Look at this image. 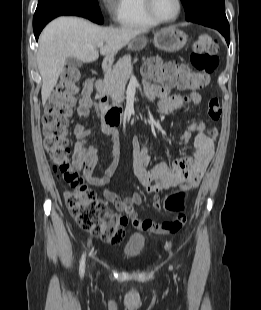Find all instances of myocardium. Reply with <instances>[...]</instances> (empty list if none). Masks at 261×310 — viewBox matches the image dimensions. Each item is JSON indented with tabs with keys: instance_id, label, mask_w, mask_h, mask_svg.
Instances as JSON below:
<instances>
[{
	"instance_id": "myocardium-1",
	"label": "myocardium",
	"mask_w": 261,
	"mask_h": 310,
	"mask_svg": "<svg viewBox=\"0 0 261 310\" xmlns=\"http://www.w3.org/2000/svg\"><path fill=\"white\" fill-rule=\"evenodd\" d=\"M177 2V12L176 14L174 15V17L170 18V19H163V18H160L154 11V7H153V0H144V7H145V10L148 14V16L154 20L155 22H157L158 24H169V23H173L175 22L181 12H182V0H176Z\"/></svg>"
}]
</instances>
